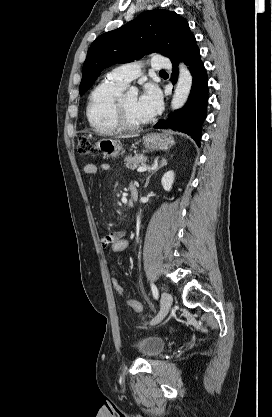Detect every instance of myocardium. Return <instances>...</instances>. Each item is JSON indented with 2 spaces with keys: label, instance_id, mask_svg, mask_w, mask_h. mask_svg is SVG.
<instances>
[{
  "label": "myocardium",
  "instance_id": "1",
  "mask_svg": "<svg viewBox=\"0 0 272 417\" xmlns=\"http://www.w3.org/2000/svg\"><path fill=\"white\" fill-rule=\"evenodd\" d=\"M123 98H124V95H121L117 99L116 104H115L114 119H115L117 126L122 130L134 131V130L141 129L142 127L147 125L149 123V120L142 122V123H132L128 120L125 110H124V106H123Z\"/></svg>",
  "mask_w": 272,
  "mask_h": 417
}]
</instances>
